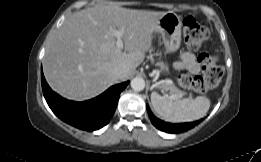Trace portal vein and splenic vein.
<instances>
[{"label": "portal vein and splenic vein", "instance_id": "1", "mask_svg": "<svg viewBox=\"0 0 261 162\" xmlns=\"http://www.w3.org/2000/svg\"><path fill=\"white\" fill-rule=\"evenodd\" d=\"M112 35L115 36L117 38L116 41V47L121 50L123 49V40H122V32L119 30H113L112 31ZM160 83H166V84H172L173 82L171 80H162L160 81ZM173 93V97H182L183 94L182 93H178L177 90H172Z\"/></svg>", "mask_w": 261, "mask_h": 162}]
</instances>
